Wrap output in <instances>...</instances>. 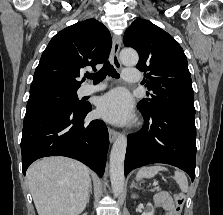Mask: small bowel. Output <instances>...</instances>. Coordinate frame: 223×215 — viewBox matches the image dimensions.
<instances>
[{
	"instance_id": "small-bowel-1",
	"label": "small bowel",
	"mask_w": 223,
	"mask_h": 215,
	"mask_svg": "<svg viewBox=\"0 0 223 215\" xmlns=\"http://www.w3.org/2000/svg\"><path fill=\"white\" fill-rule=\"evenodd\" d=\"M156 205L163 208L166 211H170L174 207L172 198L167 192H159L154 199Z\"/></svg>"
}]
</instances>
